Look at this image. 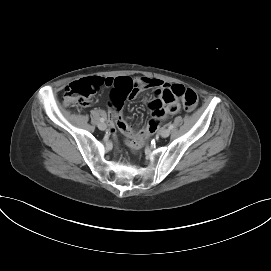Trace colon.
<instances>
[{
    "instance_id": "obj_1",
    "label": "colon",
    "mask_w": 271,
    "mask_h": 271,
    "mask_svg": "<svg viewBox=\"0 0 271 271\" xmlns=\"http://www.w3.org/2000/svg\"><path fill=\"white\" fill-rule=\"evenodd\" d=\"M100 78L81 79L70 83L64 92L63 102L65 105L87 106L91 97L97 93L96 84ZM162 99L168 106L181 101L187 111H192L198 103V96L192 89L179 84H173L162 93ZM157 128V123L151 120L148 126L139 134L136 145L142 144L148 136Z\"/></svg>"
}]
</instances>
